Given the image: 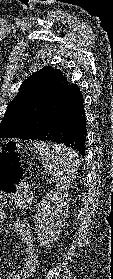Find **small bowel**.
Masks as SVG:
<instances>
[{"instance_id":"obj_1","label":"small bowel","mask_w":113,"mask_h":279,"mask_svg":"<svg viewBox=\"0 0 113 279\" xmlns=\"http://www.w3.org/2000/svg\"><path fill=\"white\" fill-rule=\"evenodd\" d=\"M10 201L19 207H26L31 201V196L26 192H19L13 196L0 193V230L2 228V221L5 219V210L1 207V204ZM13 231L20 237L21 244L24 247L25 256L23 267L17 274L11 272L2 273V278L0 279H28L35 273L37 268L33 230L25 219L18 218L13 223Z\"/></svg>"}]
</instances>
